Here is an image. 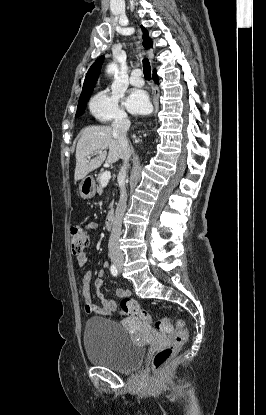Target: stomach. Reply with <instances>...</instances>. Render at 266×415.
Segmentation results:
<instances>
[{
	"label": "stomach",
	"mask_w": 266,
	"mask_h": 415,
	"mask_svg": "<svg viewBox=\"0 0 266 415\" xmlns=\"http://www.w3.org/2000/svg\"><path fill=\"white\" fill-rule=\"evenodd\" d=\"M80 196L83 199H91L95 195V181L92 176H86L79 185Z\"/></svg>",
	"instance_id": "1"
}]
</instances>
